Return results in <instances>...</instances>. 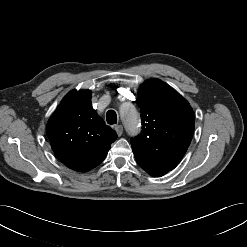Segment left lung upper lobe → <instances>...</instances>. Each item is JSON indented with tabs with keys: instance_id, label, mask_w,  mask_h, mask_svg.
Segmentation results:
<instances>
[{
	"instance_id": "1",
	"label": "left lung upper lobe",
	"mask_w": 247,
	"mask_h": 247,
	"mask_svg": "<svg viewBox=\"0 0 247 247\" xmlns=\"http://www.w3.org/2000/svg\"><path fill=\"white\" fill-rule=\"evenodd\" d=\"M142 131L131 138L139 166L157 173L173 169L186 153L194 132V114L189 103L159 79L145 81L138 90Z\"/></svg>"
}]
</instances>
